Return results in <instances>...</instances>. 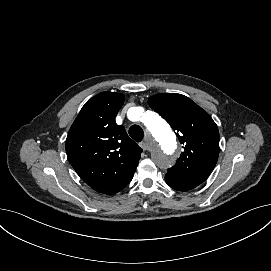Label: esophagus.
Wrapping results in <instances>:
<instances>
[{
	"label": "esophagus",
	"instance_id": "obj_1",
	"mask_svg": "<svg viewBox=\"0 0 271 271\" xmlns=\"http://www.w3.org/2000/svg\"><path fill=\"white\" fill-rule=\"evenodd\" d=\"M150 138H151V135H150V133L147 132L145 137H143L139 140L138 147L141 151L148 152L152 149L153 142Z\"/></svg>",
	"mask_w": 271,
	"mask_h": 271
}]
</instances>
